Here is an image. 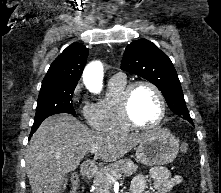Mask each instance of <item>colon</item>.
<instances>
[{
  "mask_svg": "<svg viewBox=\"0 0 221 193\" xmlns=\"http://www.w3.org/2000/svg\"><path fill=\"white\" fill-rule=\"evenodd\" d=\"M188 150V145L187 144H182L181 146V151L183 153L187 152ZM71 181H72V190L70 193H77V184H78V177L76 175H73L71 177Z\"/></svg>",
  "mask_w": 221,
  "mask_h": 193,
  "instance_id": "obj_1",
  "label": "colon"
}]
</instances>
